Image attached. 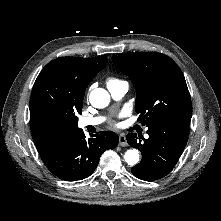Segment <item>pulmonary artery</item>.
<instances>
[{
  "instance_id": "1",
  "label": "pulmonary artery",
  "mask_w": 221,
  "mask_h": 221,
  "mask_svg": "<svg viewBox=\"0 0 221 221\" xmlns=\"http://www.w3.org/2000/svg\"><path fill=\"white\" fill-rule=\"evenodd\" d=\"M108 90L112 96L113 99L119 100L121 99L126 92L128 91V84L124 81H120L116 84H110L107 85ZM103 117H92V118H82L80 119V126L86 127V126H96L103 122ZM148 135H146L147 137Z\"/></svg>"
}]
</instances>
